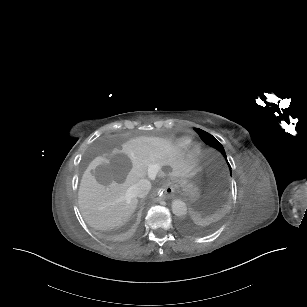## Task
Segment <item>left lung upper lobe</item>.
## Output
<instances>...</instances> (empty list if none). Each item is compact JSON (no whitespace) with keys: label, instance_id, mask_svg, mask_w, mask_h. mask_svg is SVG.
<instances>
[{"label":"left lung upper lobe","instance_id":"left-lung-upper-lobe-1","mask_svg":"<svg viewBox=\"0 0 307 307\" xmlns=\"http://www.w3.org/2000/svg\"><path fill=\"white\" fill-rule=\"evenodd\" d=\"M197 131V133L200 135L201 139L208 145L216 148L217 150H219L222 155L225 157L226 161H227V157H226V153H225V150L223 148V146L221 145L220 142H218L211 134L199 129V128H196L195 129ZM227 164L231 170V166L230 164L228 163L227 161Z\"/></svg>","mask_w":307,"mask_h":307}]
</instances>
